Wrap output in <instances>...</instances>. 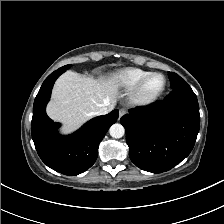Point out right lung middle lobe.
<instances>
[{"label": "right lung middle lobe", "instance_id": "1", "mask_svg": "<svg viewBox=\"0 0 224 224\" xmlns=\"http://www.w3.org/2000/svg\"><path fill=\"white\" fill-rule=\"evenodd\" d=\"M70 66H71V65H66V66L61 67V69H65V70H67V69L70 68Z\"/></svg>", "mask_w": 224, "mask_h": 224}]
</instances>
